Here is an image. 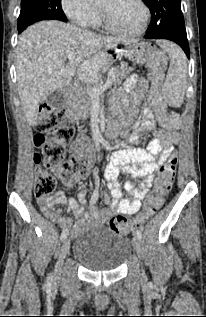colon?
<instances>
[{"mask_svg":"<svg viewBox=\"0 0 206 317\" xmlns=\"http://www.w3.org/2000/svg\"><path fill=\"white\" fill-rule=\"evenodd\" d=\"M166 66V57L161 51L154 52L148 61L149 78L157 88L164 80ZM163 125L170 129L179 128V115L174 111H167ZM73 137L74 127L65 112L51 105H43L34 138L35 145L41 150V154H36L34 158L38 165L34 194L38 200L50 197L56 188V179L49 171L53 172L61 182L76 181L88 174L91 162L89 141L86 137L80 138L76 142L75 152L71 157H67L66 149ZM176 168L177 157L174 154L159 169L154 180L155 190L147 198L138 218L113 216L107 221L108 227L116 232H132L153 216L161 208L171 189Z\"/></svg>","mask_w":206,"mask_h":317,"instance_id":"1","label":"colon"}]
</instances>
